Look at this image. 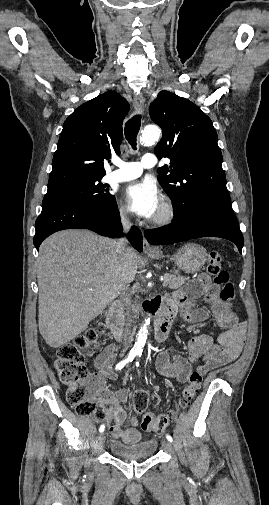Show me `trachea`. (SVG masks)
Listing matches in <instances>:
<instances>
[{
  "label": "trachea",
  "instance_id": "obj_1",
  "mask_svg": "<svg viewBox=\"0 0 269 505\" xmlns=\"http://www.w3.org/2000/svg\"><path fill=\"white\" fill-rule=\"evenodd\" d=\"M141 125V115H135L130 118L125 125L124 134L129 144L132 146L134 150H136L137 145V135L140 130Z\"/></svg>",
  "mask_w": 269,
  "mask_h": 505
}]
</instances>
